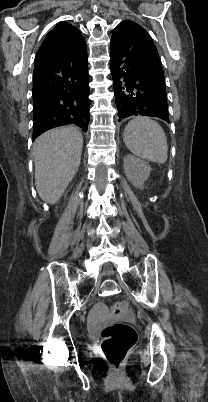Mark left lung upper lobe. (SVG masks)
<instances>
[{
  "label": "left lung upper lobe",
  "instance_id": "1",
  "mask_svg": "<svg viewBox=\"0 0 208 402\" xmlns=\"http://www.w3.org/2000/svg\"><path fill=\"white\" fill-rule=\"evenodd\" d=\"M131 22V21H128ZM143 56L142 66L161 80H164L163 68L160 63L157 49L149 36L142 44Z\"/></svg>",
  "mask_w": 208,
  "mask_h": 402
}]
</instances>
